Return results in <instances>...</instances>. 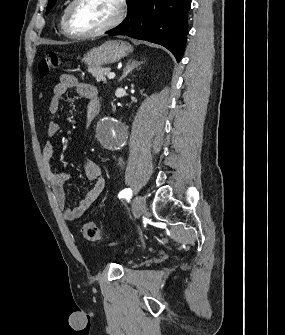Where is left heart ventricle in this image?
Returning a JSON list of instances; mask_svg holds the SVG:
<instances>
[{"mask_svg": "<svg viewBox=\"0 0 285 335\" xmlns=\"http://www.w3.org/2000/svg\"><path fill=\"white\" fill-rule=\"evenodd\" d=\"M114 14L112 1H86L77 10L76 24L83 30H97L104 27Z\"/></svg>", "mask_w": 285, "mask_h": 335, "instance_id": "b2bd125f", "label": "left heart ventricle"}]
</instances>
